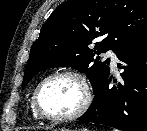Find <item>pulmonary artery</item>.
<instances>
[{"label": "pulmonary artery", "instance_id": "1", "mask_svg": "<svg viewBox=\"0 0 147 131\" xmlns=\"http://www.w3.org/2000/svg\"><path fill=\"white\" fill-rule=\"evenodd\" d=\"M105 57L110 59L111 67L115 70L117 68L118 63L117 55L112 50H109L105 53Z\"/></svg>", "mask_w": 147, "mask_h": 131}]
</instances>
